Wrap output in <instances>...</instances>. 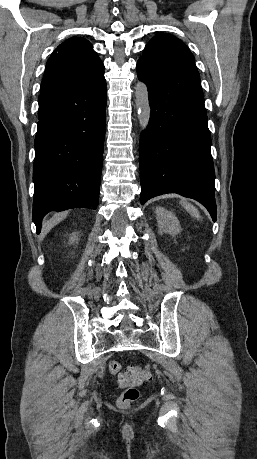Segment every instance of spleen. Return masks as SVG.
<instances>
[{"label":"spleen","mask_w":257,"mask_h":459,"mask_svg":"<svg viewBox=\"0 0 257 459\" xmlns=\"http://www.w3.org/2000/svg\"><path fill=\"white\" fill-rule=\"evenodd\" d=\"M180 203L184 206V208L187 210V212L191 216L197 218L198 220L201 219L200 213H199L198 209L195 206H193L192 204H190L188 202H185L183 200Z\"/></svg>","instance_id":"1"}]
</instances>
